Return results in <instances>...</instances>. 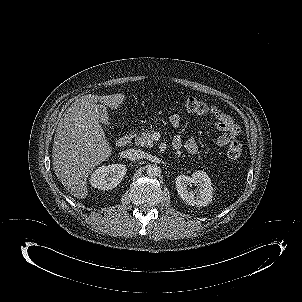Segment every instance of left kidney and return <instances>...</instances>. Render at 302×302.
Returning <instances> with one entry per match:
<instances>
[{"label": "left kidney", "mask_w": 302, "mask_h": 302, "mask_svg": "<svg viewBox=\"0 0 302 302\" xmlns=\"http://www.w3.org/2000/svg\"><path fill=\"white\" fill-rule=\"evenodd\" d=\"M175 184L179 197L190 206H207L211 202L212 187L208 175L196 172L189 177L177 176Z\"/></svg>", "instance_id": "1"}]
</instances>
